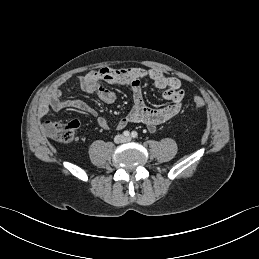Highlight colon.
I'll return each mask as SVG.
<instances>
[{
  "label": "colon",
  "instance_id": "5ec220e1",
  "mask_svg": "<svg viewBox=\"0 0 259 259\" xmlns=\"http://www.w3.org/2000/svg\"><path fill=\"white\" fill-rule=\"evenodd\" d=\"M204 100L201 97H196L193 100V105L196 108L204 106ZM80 128V123L76 120L69 122H49L45 125V133L62 143L72 142Z\"/></svg>",
  "mask_w": 259,
  "mask_h": 259
}]
</instances>
